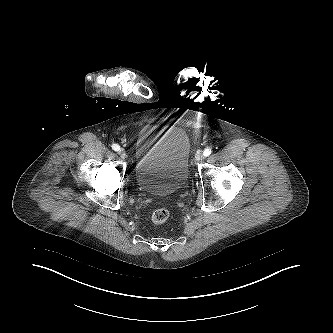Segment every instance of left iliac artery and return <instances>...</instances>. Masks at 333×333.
Wrapping results in <instances>:
<instances>
[{"instance_id": "44dca946", "label": "left iliac artery", "mask_w": 333, "mask_h": 333, "mask_svg": "<svg viewBox=\"0 0 333 333\" xmlns=\"http://www.w3.org/2000/svg\"><path fill=\"white\" fill-rule=\"evenodd\" d=\"M211 149L210 148H206L205 150H204V152H203V154H204V156L205 157H207V156H209L210 154H211Z\"/></svg>"}]
</instances>
